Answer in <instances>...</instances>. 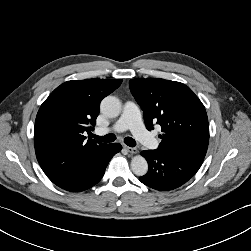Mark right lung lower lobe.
Segmentation results:
<instances>
[{"instance_id":"obj_1","label":"right lung lower lobe","mask_w":251,"mask_h":251,"mask_svg":"<svg viewBox=\"0 0 251 251\" xmlns=\"http://www.w3.org/2000/svg\"><path fill=\"white\" fill-rule=\"evenodd\" d=\"M121 148L118 143L107 144L76 163L41 167L58 187L71 192H80L91 188L101 180L109 161Z\"/></svg>"}]
</instances>
